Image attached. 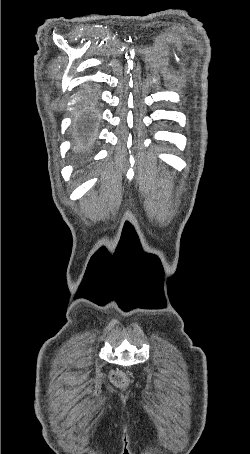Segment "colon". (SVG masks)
<instances>
[{
    "mask_svg": "<svg viewBox=\"0 0 250 454\" xmlns=\"http://www.w3.org/2000/svg\"><path fill=\"white\" fill-rule=\"evenodd\" d=\"M111 380L112 382L120 388H124L128 384V377L121 372H114L111 374Z\"/></svg>",
    "mask_w": 250,
    "mask_h": 454,
    "instance_id": "1",
    "label": "colon"
}]
</instances>
